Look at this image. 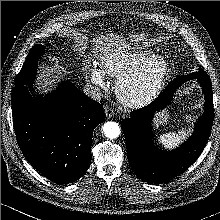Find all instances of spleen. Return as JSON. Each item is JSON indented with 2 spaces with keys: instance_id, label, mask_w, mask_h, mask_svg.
Returning <instances> with one entry per match:
<instances>
[{
  "instance_id": "1",
  "label": "spleen",
  "mask_w": 220,
  "mask_h": 220,
  "mask_svg": "<svg viewBox=\"0 0 220 220\" xmlns=\"http://www.w3.org/2000/svg\"><path fill=\"white\" fill-rule=\"evenodd\" d=\"M189 130L184 127L181 128L178 133L170 132L166 134H162L158 141L162 143L167 148L177 147L186 137Z\"/></svg>"
}]
</instances>
